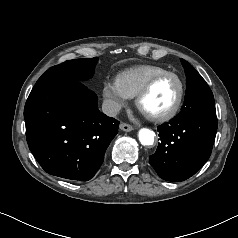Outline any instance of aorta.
<instances>
[{
  "label": "aorta",
  "instance_id": "obj_1",
  "mask_svg": "<svg viewBox=\"0 0 238 238\" xmlns=\"http://www.w3.org/2000/svg\"><path fill=\"white\" fill-rule=\"evenodd\" d=\"M138 138L142 145L150 146L154 143L155 133L151 129L142 128L138 132Z\"/></svg>",
  "mask_w": 238,
  "mask_h": 238
}]
</instances>
